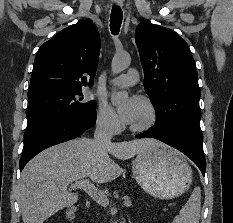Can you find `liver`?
Masks as SVG:
<instances>
[{
	"label": "liver",
	"mask_w": 233,
	"mask_h": 223,
	"mask_svg": "<svg viewBox=\"0 0 233 223\" xmlns=\"http://www.w3.org/2000/svg\"><path fill=\"white\" fill-rule=\"evenodd\" d=\"M151 145L162 143L153 137H142L97 149L94 139L77 137L44 149L21 171L17 195L23 223H44L59 209L77 203L79 193L68 189L75 179L89 177L95 183H107L122 175L123 167L111 155L130 159Z\"/></svg>",
	"instance_id": "liver-1"
}]
</instances>
